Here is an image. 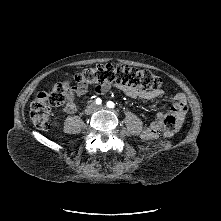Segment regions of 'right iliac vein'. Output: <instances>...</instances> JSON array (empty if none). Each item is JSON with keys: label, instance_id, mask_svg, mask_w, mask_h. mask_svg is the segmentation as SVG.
I'll return each instance as SVG.
<instances>
[{"label": "right iliac vein", "instance_id": "63e3f726", "mask_svg": "<svg viewBox=\"0 0 221 221\" xmlns=\"http://www.w3.org/2000/svg\"><path fill=\"white\" fill-rule=\"evenodd\" d=\"M94 111V108H88L87 110H86V114L87 115H89V114H91L92 112Z\"/></svg>", "mask_w": 221, "mask_h": 221}]
</instances>
